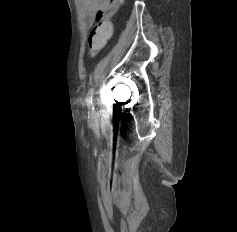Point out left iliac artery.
<instances>
[{
    "instance_id": "left-iliac-artery-1",
    "label": "left iliac artery",
    "mask_w": 237,
    "mask_h": 232,
    "mask_svg": "<svg viewBox=\"0 0 237 232\" xmlns=\"http://www.w3.org/2000/svg\"><path fill=\"white\" fill-rule=\"evenodd\" d=\"M93 94H94V88H90L88 91L87 97H86V103L87 106L91 109H93Z\"/></svg>"
}]
</instances>
